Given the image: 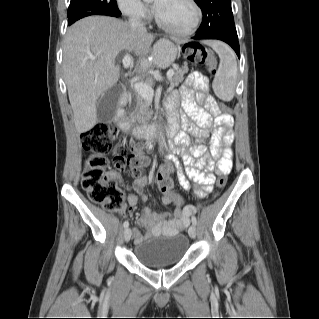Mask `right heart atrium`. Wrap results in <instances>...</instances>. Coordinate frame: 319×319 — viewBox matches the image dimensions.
<instances>
[{"label":"right heart atrium","instance_id":"obj_1","mask_svg":"<svg viewBox=\"0 0 319 319\" xmlns=\"http://www.w3.org/2000/svg\"><path fill=\"white\" fill-rule=\"evenodd\" d=\"M121 11L137 18H147L149 16V8L141 2V0H116Z\"/></svg>","mask_w":319,"mask_h":319}]
</instances>
